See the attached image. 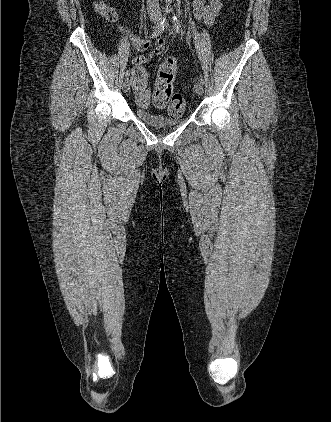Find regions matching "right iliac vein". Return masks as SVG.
<instances>
[{
    "label": "right iliac vein",
    "mask_w": 331,
    "mask_h": 422,
    "mask_svg": "<svg viewBox=\"0 0 331 422\" xmlns=\"http://www.w3.org/2000/svg\"><path fill=\"white\" fill-rule=\"evenodd\" d=\"M150 20H151V22H152L153 24H156V23L158 22V17H157V16H155V15H151V16H150ZM130 86H131V82H130V80H129V79H126V80L123 82V86H122L123 91H124V92H128V91H129V89H130Z\"/></svg>",
    "instance_id": "obj_1"
}]
</instances>
